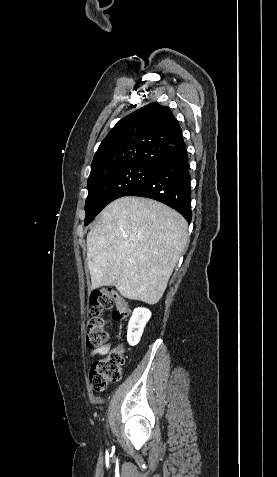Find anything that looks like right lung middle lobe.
Masks as SVG:
<instances>
[{
    "label": "right lung middle lobe",
    "mask_w": 277,
    "mask_h": 477,
    "mask_svg": "<svg viewBox=\"0 0 277 477\" xmlns=\"http://www.w3.org/2000/svg\"><path fill=\"white\" fill-rule=\"evenodd\" d=\"M156 169L155 165L128 163L108 170L91 173L88 179V197L85 203L88 225L113 200L127 196L142 184Z\"/></svg>",
    "instance_id": "dd1d6c3e"
}]
</instances>
